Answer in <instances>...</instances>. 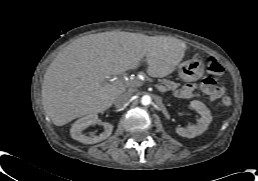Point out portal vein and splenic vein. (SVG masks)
Returning a JSON list of instances; mask_svg holds the SVG:
<instances>
[{
  "label": "portal vein and splenic vein",
  "mask_w": 258,
  "mask_h": 181,
  "mask_svg": "<svg viewBox=\"0 0 258 181\" xmlns=\"http://www.w3.org/2000/svg\"><path fill=\"white\" fill-rule=\"evenodd\" d=\"M116 85H124L123 82L121 81H116L115 82ZM126 84L128 85H132V86H141V82L140 81H134L133 83H130V82H126ZM160 92H166V88L164 86H161V85H156L155 86Z\"/></svg>",
  "instance_id": "1"
}]
</instances>
